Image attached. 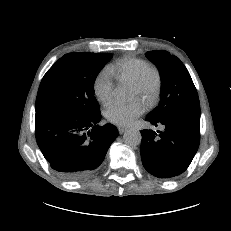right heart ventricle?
Masks as SVG:
<instances>
[{
  "label": "right heart ventricle",
  "mask_w": 231,
  "mask_h": 231,
  "mask_svg": "<svg viewBox=\"0 0 231 231\" xmlns=\"http://www.w3.org/2000/svg\"><path fill=\"white\" fill-rule=\"evenodd\" d=\"M148 61L137 57H124L109 66L108 71L120 82H133L149 67Z\"/></svg>",
  "instance_id": "right-heart-ventricle-1"
}]
</instances>
